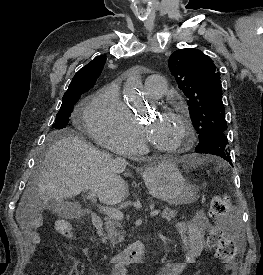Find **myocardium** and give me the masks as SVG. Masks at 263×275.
Wrapping results in <instances>:
<instances>
[{"label": "myocardium", "mask_w": 263, "mask_h": 275, "mask_svg": "<svg viewBox=\"0 0 263 275\" xmlns=\"http://www.w3.org/2000/svg\"><path fill=\"white\" fill-rule=\"evenodd\" d=\"M165 115L171 116L179 122L182 128L181 138L176 145L171 147L156 145L152 143L149 138H146V142L149 147L165 155L175 154L189 149L194 140V128L190 119L184 113L178 110H168L165 112Z\"/></svg>", "instance_id": "obj_1"}]
</instances>
